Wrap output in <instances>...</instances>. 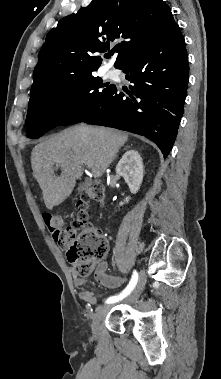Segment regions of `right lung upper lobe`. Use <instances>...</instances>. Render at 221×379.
<instances>
[{"label": "right lung upper lobe", "instance_id": "cb5924a9", "mask_svg": "<svg viewBox=\"0 0 221 379\" xmlns=\"http://www.w3.org/2000/svg\"><path fill=\"white\" fill-rule=\"evenodd\" d=\"M162 0H92L89 6L61 19L45 40L34 70L30 99L50 84L94 73L98 53L110 42L117 53L114 66L176 26Z\"/></svg>", "mask_w": 221, "mask_h": 379}]
</instances>
